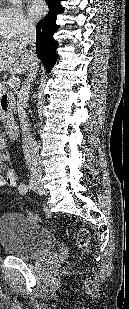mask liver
Instances as JSON below:
<instances>
[{"label": "liver", "mask_w": 129, "mask_h": 309, "mask_svg": "<svg viewBox=\"0 0 129 309\" xmlns=\"http://www.w3.org/2000/svg\"><path fill=\"white\" fill-rule=\"evenodd\" d=\"M33 67L26 47L18 41H0V72L8 71L13 75L28 73Z\"/></svg>", "instance_id": "1"}]
</instances>
